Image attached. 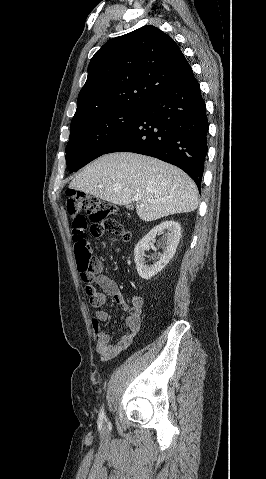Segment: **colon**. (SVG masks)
Wrapping results in <instances>:
<instances>
[{
	"instance_id": "colon-1",
	"label": "colon",
	"mask_w": 266,
	"mask_h": 479,
	"mask_svg": "<svg viewBox=\"0 0 266 479\" xmlns=\"http://www.w3.org/2000/svg\"><path fill=\"white\" fill-rule=\"evenodd\" d=\"M65 208L72 218V243L77 271L84 284L86 295L93 301L98 291L93 283V258L85 231L89 230L97 237L113 235L122 242H128L131 233L120 222L110 217L115 213V205L94 195L68 190L65 193Z\"/></svg>"
}]
</instances>
